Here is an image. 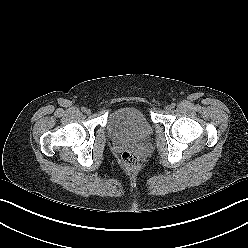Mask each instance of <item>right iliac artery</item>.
Segmentation results:
<instances>
[{"instance_id":"obj_1","label":"right iliac artery","mask_w":248,"mask_h":248,"mask_svg":"<svg viewBox=\"0 0 248 248\" xmlns=\"http://www.w3.org/2000/svg\"><path fill=\"white\" fill-rule=\"evenodd\" d=\"M81 110H82V112H85L86 111V108L85 107H82Z\"/></svg>"}]
</instances>
